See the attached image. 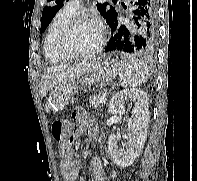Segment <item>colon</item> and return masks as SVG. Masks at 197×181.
Here are the masks:
<instances>
[{"mask_svg": "<svg viewBox=\"0 0 197 181\" xmlns=\"http://www.w3.org/2000/svg\"><path fill=\"white\" fill-rule=\"evenodd\" d=\"M65 125L66 122L62 119H56L51 124V131L59 141H64L66 138Z\"/></svg>", "mask_w": 197, "mask_h": 181, "instance_id": "5ec220e1", "label": "colon"}]
</instances>
